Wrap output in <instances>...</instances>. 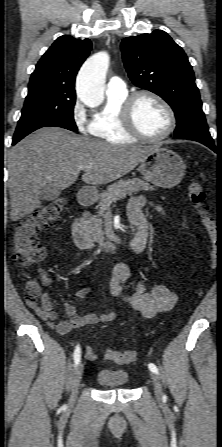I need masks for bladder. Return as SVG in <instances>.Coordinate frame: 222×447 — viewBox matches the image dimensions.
I'll return each mask as SVG.
<instances>
[{
    "label": "bladder",
    "instance_id": "31cf9c89",
    "mask_svg": "<svg viewBox=\"0 0 222 447\" xmlns=\"http://www.w3.org/2000/svg\"><path fill=\"white\" fill-rule=\"evenodd\" d=\"M96 381L104 389L124 388L129 382V376L124 370H100Z\"/></svg>",
    "mask_w": 222,
    "mask_h": 447
}]
</instances>
